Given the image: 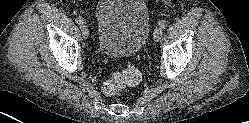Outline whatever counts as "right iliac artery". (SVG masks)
<instances>
[{
	"instance_id": "1",
	"label": "right iliac artery",
	"mask_w": 249,
	"mask_h": 123,
	"mask_svg": "<svg viewBox=\"0 0 249 123\" xmlns=\"http://www.w3.org/2000/svg\"><path fill=\"white\" fill-rule=\"evenodd\" d=\"M75 21H76V23H77L78 25H83V24H84V20H83V18H81V17H77Z\"/></svg>"
}]
</instances>
